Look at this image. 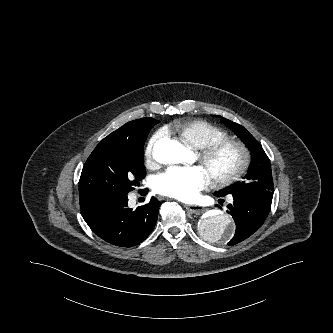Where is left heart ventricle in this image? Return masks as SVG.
<instances>
[{
	"instance_id": "b2bd125f",
	"label": "left heart ventricle",
	"mask_w": 333,
	"mask_h": 333,
	"mask_svg": "<svg viewBox=\"0 0 333 333\" xmlns=\"http://www.w3.org/2000/svg\"><path fill=\"white\" fill-rule=\"evenodd\" d=\"M238 159V153L235 149L229 148L219 152L212 160L207 163H201L202 167L210 176L213 172H224L232 167Z\"/></svg>"
}]
</instances>
